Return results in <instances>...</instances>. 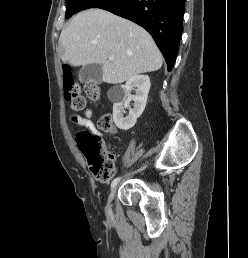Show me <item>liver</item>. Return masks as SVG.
Returning a JSON list of instances; mask_svg holds the SVG:
<instances>
[{
	"mask_svg": "<svg viewBox=\"0 0 248 258\" xmlns=\"http://www.w3.org/2000/svg\"><path fill=\"white\" fill-rule=\"evenodd\" d=\"M58 51L74 67L102 65V80L120 84L162 67V55L150 34L135 23L102 9L78 13L60 35ZM109 56H114L110 61Z\"/></svg>",
	"mask_w": 248,
	"mask_h": 258,
	"instance_id": "1",
	"label": "liver"
}]
</instances>
